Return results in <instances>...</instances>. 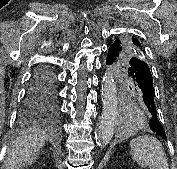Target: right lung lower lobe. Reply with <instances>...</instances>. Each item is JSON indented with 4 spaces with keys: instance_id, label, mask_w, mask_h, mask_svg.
Listing matches in <instances>:
<instances>
[{
    "instance_id": "1",
    "label": "right lung lower lobe",
    "mask_w": 177,
    "mask_h": 169,
    "mask_svg": "<svg viewBox=\"0 0 177 169\" xmlns=\"http://www.w3.org/2000/svg\"><path fill=\"white\" fill-rule=\"evenodd\" d=\"M54 74L47 69L37 70L31 80L21 117L27 121L54 120L59 115Z\"/></svg>"
}]
</instances>
